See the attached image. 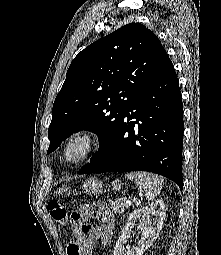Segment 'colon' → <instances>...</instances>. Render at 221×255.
<instances>
[{
	"instance_id": "colon-1",
	"label": "colon",
	"mask_w": 221,
	"mask_h": 255,
	"mask_svg": "<svg viewBox=\"0 0 221 255\" xmlns=\"http://www.w3.org/2000/svg\"><path fill=\"white\" fill-rule=\"evenodd\" d=\"M47 209L58 226L65 227L68 222H70L73 229L77 231H83L87 225V219L92 216V206L89 205L83 206L73 212L69 219L66 208L57 201H50L47 205Z\"/></svg>"
}]
</instances>
